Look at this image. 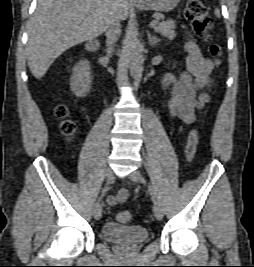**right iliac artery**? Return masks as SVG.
Wrapping results in <instances>:
<instances>
[{
    "mask_svg": "<svg viewBox=\"0 0 254 267\" xmlns=\"http://www.w3.org/2000/svg\"><path fill=\"white\" fill-rule=\"evenodd\" d=\"M109 185H110V182L108 181L107 184L105 185V187H104L103 190H102L100 199H101V198L106 194V192L108 191V189H109Z\"/></svg>",
    "mask_w": 254,
    "mask_h": 267,
    "instance_id": "obj_1",
    "label": "right iliac artery"
}]
</instances>
